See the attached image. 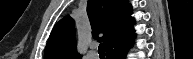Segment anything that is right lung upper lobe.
Listing matches in <instances>:
<instances>
[{"label": "right lung upper lobe", "mask_w": 193, "mask_h": 59, "mask_svg": "<svg viewBox=\"0 0 193 59\" xmlns=\"http://www.w3.org/2000/svg\"><path fill=\"white\" fill-rule=\"evenodd\" d=\"M132 7L127 0H88L87 13L93 37L104 33L106 52L133 34ZM44 59H81L76 52L74 22L69 16L53 28L45 47Z\"/></svg>", "instance_id": "1"}]
</instances>
